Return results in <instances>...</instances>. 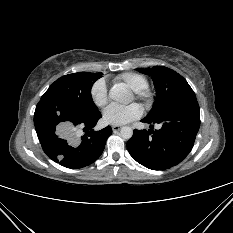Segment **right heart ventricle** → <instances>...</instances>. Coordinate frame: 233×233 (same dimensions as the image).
Instances as JSON below:
<instances>
[{"label": "right heart ventricle", "mask_w": 233, "mask_h": 233, "mask_svg": "<svg viewBox=\"0 0 233 233\" xmlns=\"http://www.w3.org/2000/svg\"><path fill=\"white\" fill-rule=\"evenodd\" d=\"M116 81L125 83L133 91H139L148 87L147 78L139 73L125 72L115 78Z\"/></svg>", "instance_id": "1"}]
</instances>
